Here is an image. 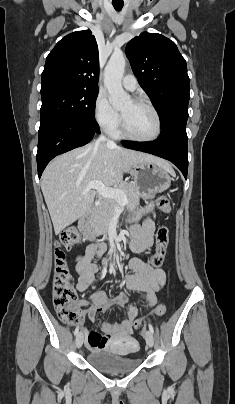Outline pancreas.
<instances>
[{
  "label": "pancreas",
  "instance_id": "obj_1",
  "mask_svg": "<svg viewBox=\"0 0 235 404\" xmlns=\"http://www.w3.org/2000/svg\"><path fill=\"white\" fill-rule=\"evenodd\" d=\"M118 189L123 191L127 196L128 208H135L139 205V192L134 183L123 182L118 186ZM119 207V202L116 199L105 198L97 207L92 221V227L96 234H106L109 224L115 216L116 209Z\"/></svg>",
  "mask_w": 235,
  "mask_h": 404
}]
</instances>
